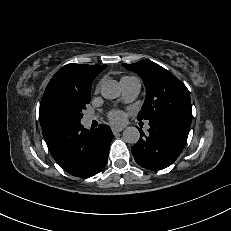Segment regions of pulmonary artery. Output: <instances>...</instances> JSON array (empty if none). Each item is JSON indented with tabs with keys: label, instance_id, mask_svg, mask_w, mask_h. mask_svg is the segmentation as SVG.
<instances>
[{
	"label": "pulmonary artery",
	"instance_id": "pulmonary-artery-1",
	"mask_svg": "<svg viewBox=\"0 0 231 231\" xmlns=\"http://www.w3.org/2000/svg\"><path fill=\"white\" fill-rule=\"evenodd\" d=\"M120 85L122 88L123 99L126 102L133 101L138 96L141 89V82L136 77H123L120 80ZM94 119H96V116L88 115L85 118V122L89 124ZM146 128H149V125H146Z\"/></svg>",
	"mask_w": 231,
	"mask_h": 231
}]
</instances>
